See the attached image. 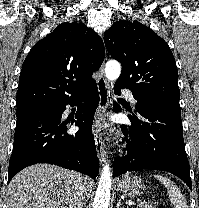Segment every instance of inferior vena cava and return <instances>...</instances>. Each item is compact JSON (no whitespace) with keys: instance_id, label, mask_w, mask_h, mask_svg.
Here are the masks:
<instances>
[{"instance_id":"obj_1","label":"inferior vena cava","mask_w":199,"mask_h":208,"mask_svg":"<svg viewBox=\"0 0 199 208\" xmlns=\"http://www.w3.org/2000/svg\"><path fill=\"white\" fill-rule=\"evenodd\" d=\"M86 205V197L84 193V185L81 175L76 178L73 192L69 200V208H84Z\"/></svg>"}]
</instances>
